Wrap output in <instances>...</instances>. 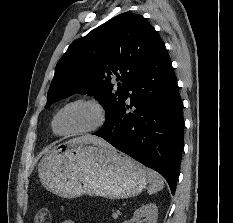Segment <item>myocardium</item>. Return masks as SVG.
Here are the masks:
<instances>
[{
  "instance_id": "myocardium-1",
  "label": "myocardium",
  "mask_w": 233,
  "mask_h": 223,
  "mask_svg": "<svg viewBox=\"0 0 233 223\" xmlns=\"http://www.w3.org/2000/svg\"><path fill=\"white\" fill-rule=\"evenodd\" d=\"M76 103H86V104H90V105L94 106L99 112L100 122L98 123V125L96 127L89 129V130H86V131L74 132V133H61L57 129L58 118H59L60 114L67 107H69L70 105L76 104ZM107 122H108L107 109L99 99L93 98V97H79V98H76V99H73V100L67 102L56 112V114L53 118V121H52V129H53V132L58 136H63V137L87 136V135H91V134H94V133L101 131L106 126Z\"/></svg>"
}]
</instances>
